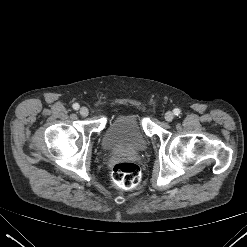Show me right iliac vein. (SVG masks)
<instances>
[{
	"instance_id": "1",
	"label": "right iliac vein",
	"mask_w": 247,
	"mask_h": 247,
	"mask_svg": "<svg viewBox=\"0 0 247 247\" xmlns=\"http://www.w3.org/2000/svg\"><path fill=\"white\" fill-rule=\"evenodd\" d=\"M79 113L82 117H87L89 114V110L86 107H82L80 108Z\"/></svg>"
}]
</instances>
